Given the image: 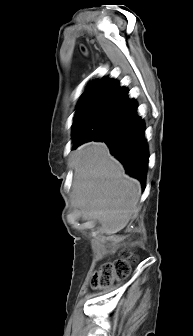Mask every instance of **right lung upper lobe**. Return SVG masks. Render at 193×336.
<instances>
[{
  "label": "right lung upper lobe",
  "instance_id": "cb5924a9",
  "mask_svg": "<svg viewBox=\"0 0 193 336\" xmlns=\"http://www.w3.org/2000/svg\"><path fill=\"white\" fill-rule=\"evenodd\" d=\"M126 90L112 79L104 78L90 85L83 94L77 108L74 126L82 121L93 120L103 111L115 108L117 103L126 94ZM74 143L86 141L84 137L73 136Z\"/></svg>",
  "mask_w": 193,
  "mask_h": 336
}]
</instances>
